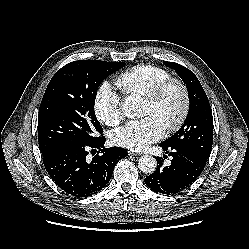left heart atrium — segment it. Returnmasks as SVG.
Returning <instances> with one entry per match:
<instances>
[{"label": "left heart atrium", "mask_w": 249, "mask_h": 249, "mask_svg": "<svg viewBox=\"0 0 249 249\" xmlns=\"http://www.w3.org/2000/svg\"><path fill=\"white\" fill-rule=\"evenodd\" d=\"M165 131L161 121L154 115L131 120L112 132L111 140L114 144L132 149L143 150L149 144L159 140Z\"/></svg>", "instance_id": "39dd6f15"}]
</instances>
